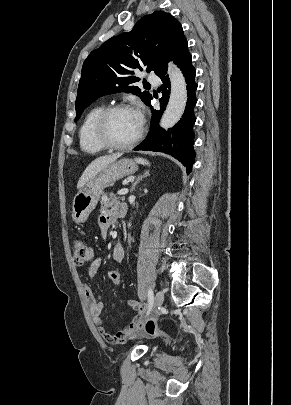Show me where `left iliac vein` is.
Listing matches in <instances>:
<instances>
[{
	"instance_id": "left-iliac-vein-1",
	"label": "left iliac vein",
	"mask_w": 291,
	"mask_h": 405,
	"mask_svg": "<svg viewBox=\"0 0 291 405\" xmlns=\"http://www.w3.org/2000/svg\"><path fill=\"white\" fill-rule=\"evenodd\" d=\"M164 301V293L163 291H158L155 295L154 299V306H155V311L158 310L159 307L163 304Z\"/></svg>"
}]
</instances>
